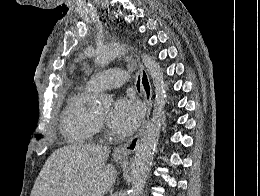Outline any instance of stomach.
<instances>
[{"label":"stomach","instance_id":"0dacf381","mask_svg":"<svg viewBox=\"0 0 260 196\" xmlns=\"http://www.w3.org/2000/svg\"><path fill=\"white\" fill-rule=\"evenodd\" d=\"M115 162H126V160H115Z\"/></svg>","mask_w":260,"mask_h":196}]
</instances>
